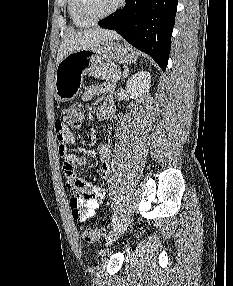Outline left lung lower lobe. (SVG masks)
<instances>
[{
  "instance_id": "1",
  "label": "left lung lower lobe",
  "mask_w": 233,
  "mask_h": 286,
  "mask_svg": "<svg viewBox=\"0 0 233 286\" xmlns=\"http://www.w3.org/2000/svg\"><path fill=\"white\" fill-rule=\"evenodd\" d=\"M177 4L178 0H127L122 10L104 18L98 25L117 31L165 71Z\"/></svg>"
}]
</instances>
